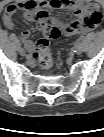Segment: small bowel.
Wrapping results in <instances>:
<instances>
[{"instance_id":"1","label":"small bowel","mask_w":104,"mask_h":137,"mask_svg":"<svg viewBox=\"0 0 104 137\" xmlns=\"http://www.w3.org/2000/svg\"><path fill=\"white\" fill-rule=\"evenodd\" d=\"M43 9H67L73 12L77 20L71 24L63 25L59 19H52V22L60 26L63 34L67 36L94 29L102 20L100 7L91 2V0H26L7 5L2 21L7 29H12L14 27V14L17 11H24V16L27 20L36 21L35 14ZM19 38L30 51L33 50V43L30 40L28 30L22 31Z\"/></svg>"}]
</instances>
